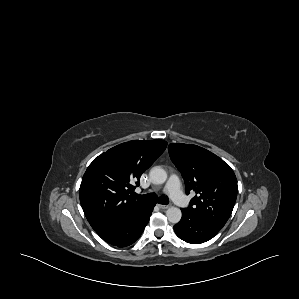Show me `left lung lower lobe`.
Here are the masks:
<instances>
[{
    "mask_svg": "<svg viewBox=\"0 0 299 299\" xmlns=\"http://www.w3.org/2000/svg\"><path fill=\"white\" fill-rule=\"evenodd\" d=\"M174 231L185 242L200 244L213 238L220 229L183 209L182 219L174 226Z\"/></svg>",
    "mask_w": 299,
    "mask_h": 299,
    "instance_id": "0a47b994",
    "label": "left lung lower lobe"
}]
</instances>
